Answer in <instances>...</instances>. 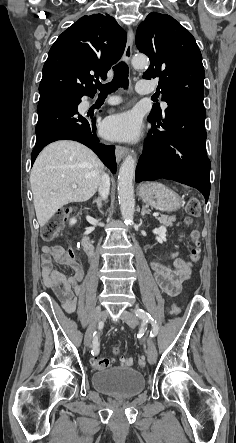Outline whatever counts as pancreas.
I'll list each match as a JSON object with an SVG mask.
<instances>
[{
    "label": "pancreas",
    "instance_id": "pancreas-1",
    "mask_svg": "<svg viewBox=\"0 0 236 443\" xmlns=\"http://www.w3.org/2000/svg\"><path fill=\"white\" fill-rule=\"evenodd\" d=\"M159 220V222L164 225V226H172L173 223L176 221V217L175 216H161L157 218Z\"/></svg>",
    "mask_w": 236,
    "mask_h": 443
}]
</instances>
